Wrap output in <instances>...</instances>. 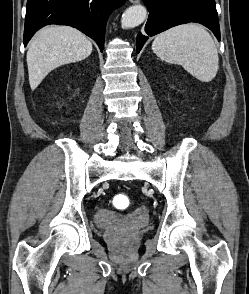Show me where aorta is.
Here are the masks:
<instances>
[{"mask_svg":"<svg viewBox=\"0 0 249 294\" xmlns=\"http://www.w3.org/2000/svg\"><path fill=\"white\" fill-rule=\"evenodd\" d=\"M147 10L142 5H134L126 9L122 15L121 25L125 29L134 28L144 22Z\"/></svg>","mask_w":249,"mask_h":294,"instance_id":"762f6f07","label":"aorta"}]
</instances>
